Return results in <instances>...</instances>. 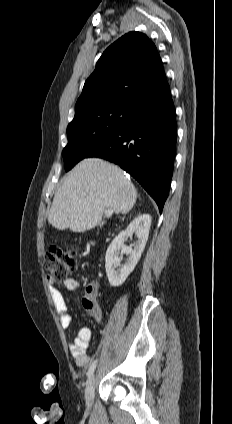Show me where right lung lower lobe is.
Segmentation results:
<instances>
[{"label": "right lung lower lobe", "instance_id": "98d812e1", "mask_svg": "<svg viewBox=\"0 0 232 424\" xmlns=\"http://www.w3.org/2000/svg\"><path fill=\"white\" fill-rule=\"evenodd\" d=\"M177 126L170 86L165 82L131 106L127 122L88 157L118 164L155 200L160 213L169 193Z\"/></svg>", "mask_w": 232, "mask_h": 424}]
</instances>
